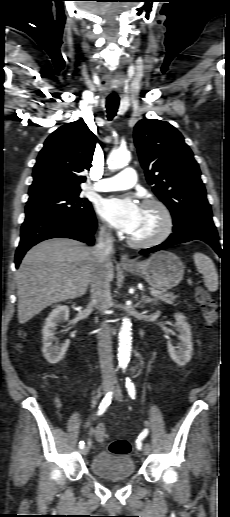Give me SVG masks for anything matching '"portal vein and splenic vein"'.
Instances as JSON below:
<instances>
[{
	"label": "portal vein and splenic vein",
	"instance_id": "1",
	"mask_svg": "<svg viewBox=\"0 0 230 517\" xmlns=\"http://www.w3.org/2000/svg\"><path fill=\"white\" fill-rule=\"evenodd\" d=\"M161 292L160 291H157V290H153L151 291V295L153 296H156V295H159Z\"/></svg>",
	"mask_w": 230,
	"mask_h": 517
}]
</instances>
